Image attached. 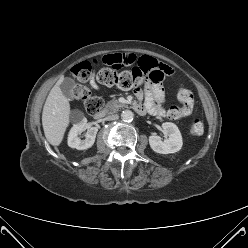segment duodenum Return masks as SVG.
Wrapping results in <instances>:
<instances>
[{"label": "duodenum", "instance_id": "duodenum-1", "mask_svg": "<svg viewBox=\"0 0 248 248\" xmlns=\"http://www.w3.org/2000/svg\"><path fill=\"white\" fill-rule=\"evenodd\" d=\"M133 109H134L137 113H139V114H143V113H144V109H143L142 106L139 105V104H134V105H133ZM104 115H105V112H104L103 110H100L99 112H97L96 114H94V118H95V119H101V118L104 117Z\"/></svg>", "mask_w": 248, "mask_h": 248}]
</instances>
